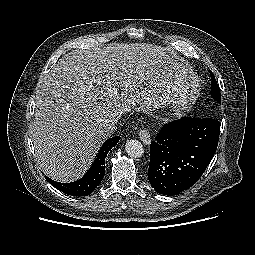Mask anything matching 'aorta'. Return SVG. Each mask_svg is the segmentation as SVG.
<instances>
[{"label":"aorta","instance_id":"aorta-1","mask_svg":"<svg viewBox=\"0 0 255 255\" xmlns=\"http://www.w3.org/2000/svg\"><path fill=\"white\" fill-rule=\"evenodd\" d=\"M125 151L130 157L138 158L143 155L144 148L141 142L131 139L126 142Z\"/></svg>","mask_w":255,"mask_h":255}]
</instances>
